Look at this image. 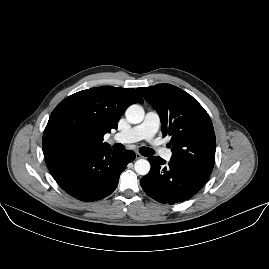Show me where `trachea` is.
<instances>
[{"instance_id": "1", "label": "trachea", "mask_w": 269, "mask_h": 269, "mask_svg": "<svg viewBox=\"0 0 269 269\" xmlns=\"http://www.w3.org/2000/svg\"><path fill=\"white\" fill-rule=\"evenodd\" d=\"M113 148L115 150H117V151H123L124 150V146L122 144H120V143L115 144ZM139 152L143 156H147V157L152 156L154 154V151L152 149H150V148H147V147H141L139 149Z\"/></svg>"}]
</instances>
